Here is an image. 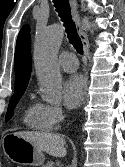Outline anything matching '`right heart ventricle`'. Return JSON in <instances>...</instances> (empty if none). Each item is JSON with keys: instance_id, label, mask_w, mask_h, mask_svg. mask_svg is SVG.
Segmentation results:
<instances>
[{"instance_id": "1", "label": "right heart ventricle", "mask_w": 125, "mask_h": 167, "mask_svg": "<svg viewBox=\"0 0 125 167\" xmlns=\"http://www.w3.org/2000/svg\"><path fill=\"white\" fill-rule=\"evenodd\" d=\"M26 126L40 131H48L53 128L45 114L44 104L29 102L23 116Z\"/></svg>"}]
</instances>
